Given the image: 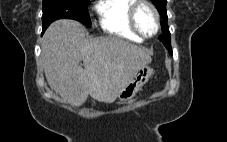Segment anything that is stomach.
<instances>
[{
	"label": "stomach",
	"instance_id": "0dacf381",
	"mask_svg": "<svg viewBox=\"0 0 227 142\" xmlns=\"http://www.w3.org/2000/svg\"><path fill=\"white\" fill-rule=\"evenodd\" d=\"M153 70L149 66H142L131 81L120 92L118 98L121 102L130 101L136 93L146 84L152 76Z\"/></svg>",
	"mask_w": 227,
	"mask_h": 142
}]
</instances>
